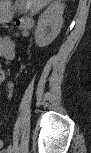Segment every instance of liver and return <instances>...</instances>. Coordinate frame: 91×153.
I'll list each match as a JSON object with an SVG mask.
<instances>
[{
  "label": "liver",
  "instance_id": "1",
  "mask_svg": "<svg viewBox=\"0 0 91 153\" xmlns=\"http://www.w3.org/2000/svg\"><path fill=\"white\" fill-rule=\"evenodd\" d=\"M16 2H18L21 5H24L26 9L30 8L32 13H36L45 5H47L50 2V0H20Z\"/></svg>",
  "mask_w": 91,
  "mask_h": 153
}]
</instances>
